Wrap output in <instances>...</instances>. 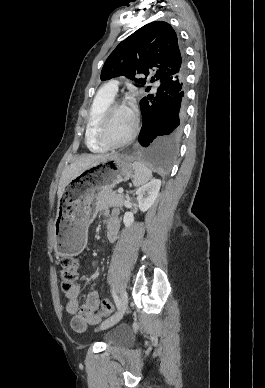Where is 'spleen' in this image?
Here are the masks:
<instances>
[{"label":"spleen","instance_id":"1","mask_svg":"<svg viewBox=\"0 0 265 388\" xmlns=\"http://www.w3.org/2000/svg\"><path fill=\"white\" fill-rule=\"evenodd\" d=\"M133 168L135 170L133 176V186H143L146 182H149L152 178V172L143 164V162H133Z\"/></svg>","mask_w":265,"mask_h":388}]
</instances>
